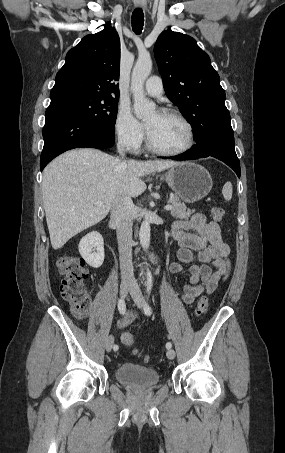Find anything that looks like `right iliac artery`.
<instances>
[{
  "label": "right iliac artery",
  "mask_w": 285,
  "mask_h": 453,
  "mask_svg": "<svg viewBox=\"0 0 285 453\" xmlns=\"http://www.w3.org/2000/svg\"><path fill=\"white\" fill-rule=\"evenodd\" d=\"M118 310H119L120 314H122V315H124L125 312H126V304H125V301H124L123 298H120V299L118 300ZM113 349H114V350H117V349H118V346H117V345H114V346H113Z\"/></svg>",
  "instance_id": "right-iliac-artery-1"
}]
</instances>
